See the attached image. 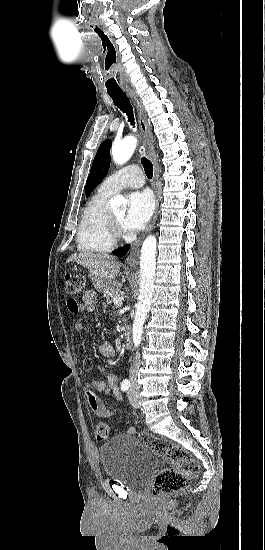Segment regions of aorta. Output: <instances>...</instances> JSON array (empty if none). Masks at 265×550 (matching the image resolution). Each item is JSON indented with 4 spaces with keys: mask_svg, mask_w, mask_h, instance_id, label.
<instances>
[{
    "mask_svg": "<svg viewBox=\"0 0 265 550\" xmlns=\"http://www.w3.org/2000/svg\"><path fill=\"white\" fill-rule=\"evenodd\" d=\"M136 146L137 138L134 136H127L123 140L114 143L111 149L114 162L118 165L125 164L133 155ZM126 204L127 201L122 195L114 196L110 200L111 208L122 207L126 209ZM156 245L157 239L155 235H149L144 240L141 248L139 301L136 307L132 329L133 344L135 348L140 346L143 325L152 303L155 281Z\"/></svg>",
    "mask_w": 265,
    "mask_h": 550,
    "instance_id": "obj_1",
    "label": "aorta"
}]
</instances>
